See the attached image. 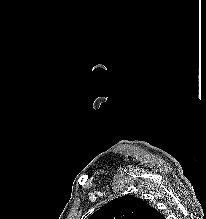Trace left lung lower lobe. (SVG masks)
Wrapping results in <instances>:
<instances>
[{"instance_id": "obj_1", "label": "left lung lower lobe", "mask_w": 206, "mask_h": 219, "mask_svg": "<svg viewBox=\"0 0 206 219\" xmlns=\"http://www.w3.org/2000/svg\"><path fill=\"white\" fill-rule=\"evenodd\" d=\"M151 219H165V218L155 209Z\"/></svg>"}]
</instances>
